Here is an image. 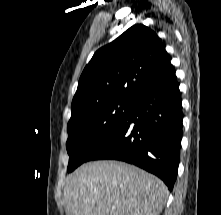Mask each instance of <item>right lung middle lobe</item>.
<instances>
[{
  "mask_svg": "<svg viewBox=\"0 0 221 215\" xmlns=\"http://www.w3.org/2000/svg\"><path fill=\"white\" fill-rule=\"evenodd\" d=\"M132 105L131 100L112 99L71 107L66 144L68 172L87 161L93 150L129 113Z\"/></svg>",
  "mask_w": 221,
  "mask_h": 215,
  "instance_id": "obj_1",
  "label": "right lung middle lobe"
}]
</instances>
